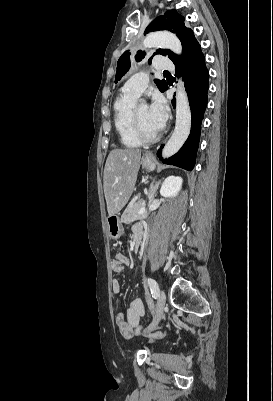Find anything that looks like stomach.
<instances>
[{
  "instance_id": "obj_1",
  "label": "stomach",
  "mask_w": 273,
  "mask_h": 401,
  "mask_svg": "<svg viewBox=\"0 0 273 401\" xmlns=\"http://www.w3.org/2000/svg\"><path fill=\"white\" fill-rule=\"evenodd\" d=\"M144 154H149V152H144ZM141 164L142 168L154 170L156 166V160H154V158H141ZM107 227L110 239H120L121 235L124 233L123 225L117 215L108 217Z\"/></svg>"
}]
</instances>
